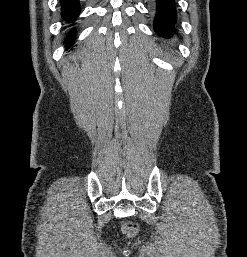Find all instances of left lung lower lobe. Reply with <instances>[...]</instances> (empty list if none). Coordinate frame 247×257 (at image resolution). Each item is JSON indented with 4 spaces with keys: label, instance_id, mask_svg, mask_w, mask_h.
<instances>
[{
    "label": "left lung lower lobe",
    "instance_id": "left-lung-lower-lobe-1",
    "mask_svg": "<svg viewBox=\"0 0 247 257\" xmlns=\"http://www.w3.org/2000/svg\"><path fill=\"white\" fill-rule=\"evenodd\" d=\"M176 9L174 0H157V11L154 21L155 31L162 37L170 38L174 33Z\"/></svg>",
    "mask_w": 247,
    "mask_h": 257
}]
</instances>
